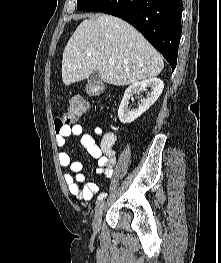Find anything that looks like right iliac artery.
Segmentation results:
<instances>
[{"mask_svg": "<svg viewBox=\"0 0 221 263\" xmlns=\"http://www.w3.org/2000/svg\"><path fill=\"white\" fill-rule=\"evenodd\" d=\"M106 196H107V193H104V192H103V193H101V194L98 196L97 200L100 201V200L104 199Z\"/></svg>", "mask_w": 221, "mask_h": 263, "instance_id": "right-iliac-artery-1", "label": "right iliac artery"}]
</instances>
